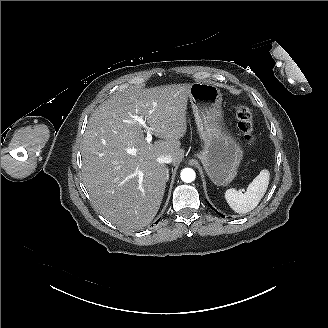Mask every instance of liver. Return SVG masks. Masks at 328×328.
<instances>
[{
  "label": "liver",
  "mask_w": 328,
  "mask_h": 328,
  "mask_svg": "<svg viewBox=\"0 0 328 328\" xmlns=\"http://www.w3.org/2000/svg\"><path fill=\"white\" fill-rule=\"evenodd\" d=\"M190 91V84L134 88L104 101L89 119L81 148L84 185L96 210L118 227L138 229L157 214L169 177L157 158L170 155L173 165L178 162ZM135 115L161 140L147 142Z\"/></svg>",
  "instance_id": "1"
}]
</instances>
